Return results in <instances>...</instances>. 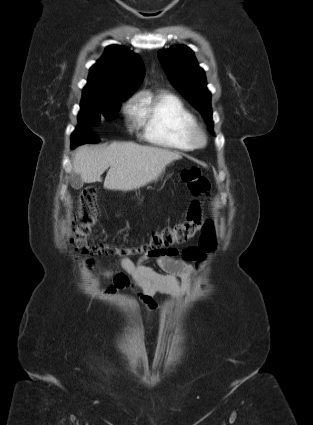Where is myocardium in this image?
I'll use <instances>...</instances> for the list:
<instances>
[{
  "label": "myocardium",
  "mask_w": 313,
  "mask_h": 425,
  "mask_svg": "<svg viewBox=\"0 0 313 425\" xmlns=\"http://www.w3.org/2000/svg\"><path fill=\"white\" fill-rule=\"evenodd\" d=\"M190 139L195 147H203L207 142L204 131L197 125L192 128Z\"/></svg>",
  "instance_id": "1"
}]
</instances>
